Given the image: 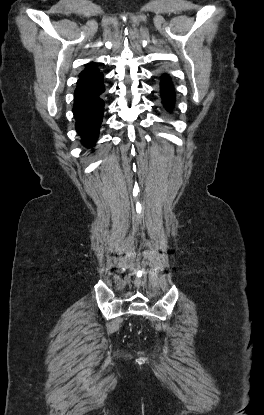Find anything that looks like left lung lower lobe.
Instances as JSON below:
<instances>
[{
    "label": "left lung lower lobe",
    "instance_id": "obj_1",
    "mask_svg": "<svg viewBox=\"0 0 264 415\" xmlns=\"http://www.w3.org/2000/svg\"><path fill=\"white\" fill-rule=\"evenodd\" d=\"M161 94L163 98V104L168 109L171 110L174 105V89L172 83L167 75H163L161 79Z\"/></svg>",
    "mask_w": 264,
    "mask_h": 415
}]
</instances>
